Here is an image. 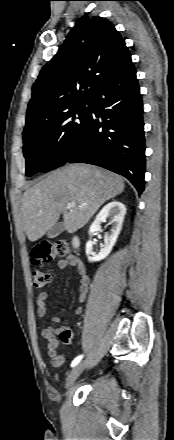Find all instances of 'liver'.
Wrapping results in <instances>:
<instances>
[{
	"mask_svg": "<svg viewBox=\"0 0 174 440\" xmlns=\"http://www.w3.org/2000/svg\"><path fill=\"white\" fill-rule=\"evenodd\" d=\"M124 190L119 175L92 165L74 164L55 170L27 189L22 197L21 223L32 242L63 215V226L74 233L88 223L106 201ZM71 201L75 207H69ZM85 204L84 207H80Z\"/></svg>",
	"mask_w": 174,
	"mask_h": 440,
	"instance_id": "1",
	"label": "liver"
}]
</instances>
